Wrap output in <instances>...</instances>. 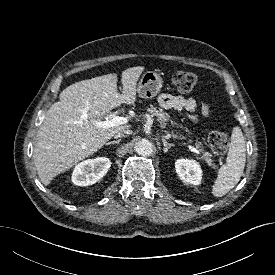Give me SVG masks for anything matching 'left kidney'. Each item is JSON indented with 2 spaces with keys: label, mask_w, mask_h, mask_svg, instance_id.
Segmentation results:
<instances>
[{
  "label": "left kidney",
  "mask_w": 275,
  "mask_h": 275,
  "mask_svg": "<svg viewBox=\"0 0 275 275\" xmlns=\"http://www.w3.org/2000/svg\"><path fill=\"white\" fill-rule=\"evenodd\" d=\"M176 172L185 183L198 185L202 179L200 165L195 160L178 159L175 162Z\"/></svg>",
  "instance_id": "5707ae66"
}]
</instances>
